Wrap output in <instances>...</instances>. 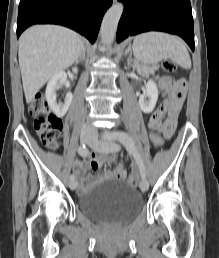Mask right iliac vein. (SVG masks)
<instances>
[{"label": "right iliac vein", "instance_id": "63e3f726", "mask_svg": "<svg viewBox=\"0 0 219 258\" xmlns=\"http://www.w3.org/2000/svg\"><path fill=\"white\" fill-rule=\"evenodd\" d=\"M92 134L89 131L86 130H82L81 134H80V140L82 143H89V141L91 140ZM69 188L71 190H75L77 187V182L75 180H70L69 181Z\"/></svg>", "mask_w": 219, "mask_h": 258}]
</instances>
